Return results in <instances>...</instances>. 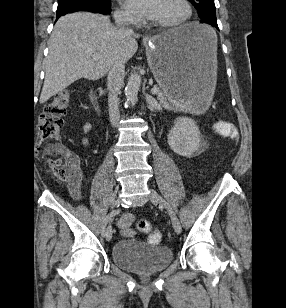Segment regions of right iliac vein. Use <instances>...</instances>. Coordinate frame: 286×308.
Masks as SVG:
<instances>
[{"mask_svg": "<svg viewBox=\"0 0 286 308\" xmlns=\"http://www.w3.org/2000/svg\"><path fill=\"white\" fill-rule=\"evenodd\" d=\"M117 190H118V187L115 188L114 193L111 197V201H110L111 207H114V206L117 205ZM105 236H106L107 241H110L112 239V228H111L110 225L106 229V235Z\"/></svg>", "mask_w": 286, "mask_h": 308, "instance_id": "63e3f726", "label": "right iliac vein"}]
</instances>
